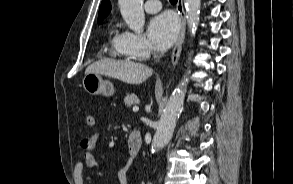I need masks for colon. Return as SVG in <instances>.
I'll list each match as a JSON object with an SVG mask.
<instances>
[{"label": "colon", "mask_w": 293, "mask_h": 184, "mask_svg": "<svg viewBox=\"0 0 293 184\" xmlns=\"http://www.w3.org/2000/svg\"><path fill=\"white\" fill-rule=\"evenodd\" d=\"M87 126L93 127L95 125V117L92 114H88L86 116Z\"/></svg>", "instance_id": "obj_1"}]
</instances>
